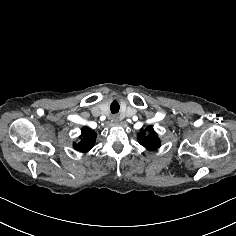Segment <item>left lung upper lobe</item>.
Here are the masks:
<instances>
[{
	"mask_svg": "<svg viewBox=\"0 0 236 236\" xmlns=\"http://www.w3.org/2000/svg\"><path fill=\"white\" fill-rule=\"evenodd\" d=\"M139 143L146 149L155 150L160 147V139L152 126L146 127L137 135Z\"/></svg>",
	"mask_w": 236,
	"mask_h": 236,
	"instance_id": "1",
	"label": "left lung upper lobe"
}]
</instances>
